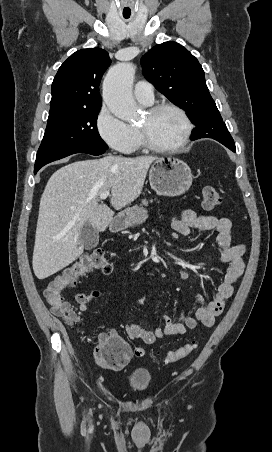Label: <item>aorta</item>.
<instances>
[{"label": "aorta", "instance_id": "762f6f07", "mask_svg": "<svg viewBox=\"0 0 272 452\" xmlns=\"http://www.w3.org/2000/svg\"><path fill=\"white\" fill-rule=\"evenodd\" d=\"M135 66L119 63L112 67L103 82V100L108 109L119 119L131 121L137 118L138 110L132 96Z\"/></svg>", "mask_w": 272, "mask_h": 452}]
</instances>
